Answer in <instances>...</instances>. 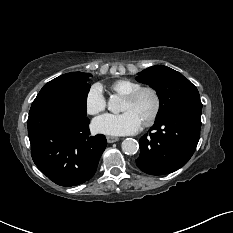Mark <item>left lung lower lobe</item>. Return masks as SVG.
<instances>
[{"instance_id": "obj_1", "label": "left lung lower lobe", "mask_w": 233, "mask_h": 233, "mask_svg": "<svg viewBox=\"0 0 233 233\" xmlns=\"http://www.w3.org/2000/svg\"><path fill=\"white\" fill-rule=\"evenodd\" d=\"M201 111L184 108L157 118L149 134L140 139L137 167L151 175H163L184 166L200 138Z\"/></svg>"}]
</instances>
